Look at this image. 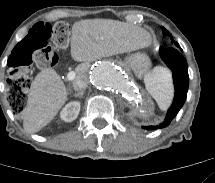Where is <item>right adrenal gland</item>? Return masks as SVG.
Segmentation results:
<instances>
[{
	"mask_svg": "<svg viewBox=\"0 0 215 183\" xmlns=\"http://www.w3.org/2000/svg\"><path fill=\"white\" fill-rule=\"evenodd\" d=\"M84 92H85V91H84V90H82V91H80V92L75 93V94H74V96H75V97H80V98H82V97H83Z\"/></svg>",
	"mask_w": 215,
	"mask_h": 183,
	"instance_id": "1",
	"label": "right adrenal gland"
}]
</instances>
